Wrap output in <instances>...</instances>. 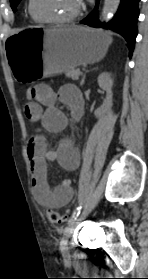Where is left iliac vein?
Instances as JSON below:
<instances>
[{"mask_svg": "<svg viewBox=\"0 0 148 279\" xmlns=\"http://www.w3.org/2000/svg\"><path fill=\"white\" fill-rule=\"evenodd\" d=\"M82 215L78 216L75 220L71 221L68 225V227L64 231L63 239L61 241V251L64 255L67 254L68 248H67V239L70 237V235L73 233L78 221Z\"/></svg>", "mask_w": 148, "mask_h": 279, "instance_id": "4c4485c4", "label": "left iliac vein"}]
</instances>
